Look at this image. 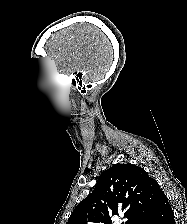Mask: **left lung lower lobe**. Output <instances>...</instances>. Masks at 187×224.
<instances>
[{
    "label": "left lung lower lobe",
    "mask_w": 187,
    "mask_h": 224,
    "mask_svg": "<svg viewBox=\"0 0 187 224\" xmlns=\"http://www.w3.org/2000/svg\"><path fill=\"white\" fill-rule=\"evenodd\" d=\"M145 224H175V216L168 198L162 191Z\"/></svg>",
    "instance_id": "0a47b994"
}]
</instances>
